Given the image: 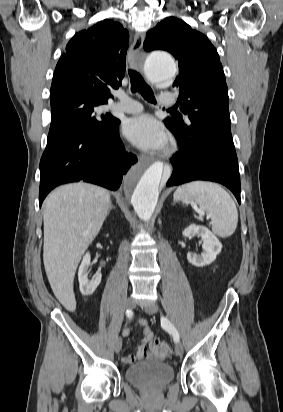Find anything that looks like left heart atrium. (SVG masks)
Wrapping results in <instances>:
<instances>
[{"label":"left heart atrium","mask_w":283,"mask_h":412,"mask_svg":"<svg viewBox=\"0 0 283 412\" xmlns=\"http://www.w3.org/2000/svg\"><path fill=\"white\" fill-rule=\"evenodd\" d=\"M123 134L142 150H161L167 143L163 125L148 114L128 119L123 125Z\"/></svg>","instance_id":"1"}]
</instances>
